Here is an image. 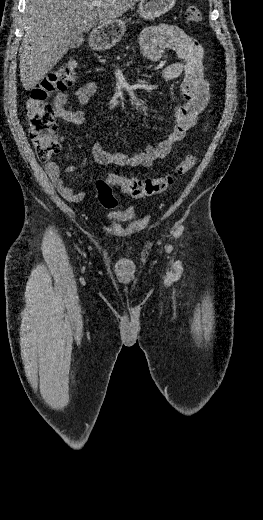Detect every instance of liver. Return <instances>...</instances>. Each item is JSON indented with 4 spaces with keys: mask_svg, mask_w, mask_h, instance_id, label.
Wrapping results in <instances>:
<instances>
[{
    "mask_svg": "<svg viewBox=\"0 0 263 520\" xmlns=\"http://www.w3.org/2000/svg\"><path fill=\"white\" fill-rule=\"evenodd\" d=\"M100 1L102 6H89ZM139 0H27L26 28L19 50L20 77L31 90L64 57L68 34L89 32L125 14Z\"/></svg>",
    "mask_w": 263,
    "mask_h": 520,
    "instance_id": "liver-1",
    "label": "liver"
}]
</instances>
